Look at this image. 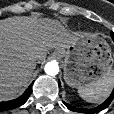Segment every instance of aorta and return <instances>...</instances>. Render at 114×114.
Segmentation results:
<instances>
[{"mask_svg":"<svg viewBox=\"0 0 114 114\" xmlns=\"http://www.w3.org/2000/svg\"><path fill=\"white\" fill-rule=\"evenodd\" d=\"M44 70H45L46 74L55 76L59 72L58 63L56 61H50L45 65Z\"/></svg>","mask_w":114,"mask_h":114,"instance_id":"762f6f07","label":"aorta"}]
</instances>
